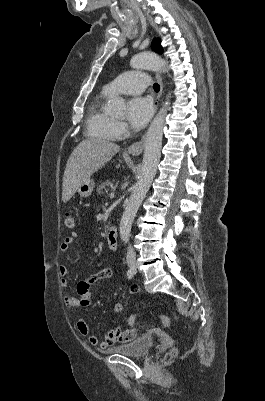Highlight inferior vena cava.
<instances>
[{
	"instance_id": "1",
	"label": "inferior vena cava",
	"mask_w": 265,
	"mask_h": 401,
	"mask_svg": "<svg viewBox=\"0 0 265 401\" xmlns=\"http://www.w3.org/2000/svg\"><path fill=\"white\" fill-rule=\"evenodd\" d=\"M126 259L127 261H131V259H136V253L134 249H132V247H128Z\"/></svg>"
}]
</instances>
